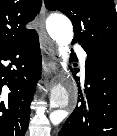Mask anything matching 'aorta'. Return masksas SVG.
Wrapping results in <instances>:
<instances>
[{
    "mask_svg": "<svg viewBox=\"0 0 117 136\" xmlns=\"http://www.w3.org/2000/svg\"><path fill=\"white\" fill-rule=\"evenodd\" d=\"M47 31L56 42L59 56L62 58V67L69 74L68 60L69 47L73 39V26L71 21L63 15H52L47 20ZM69 76V75H68ZM69 104V93L61 86L54 87L51 91L50 107L58 111V119H62Z\"/></svg>",
    "mask_w": 117,
    "mask_h": 136,
    "instance_id": "obj_1",
    "label": "aorta"
}]
</instances>
